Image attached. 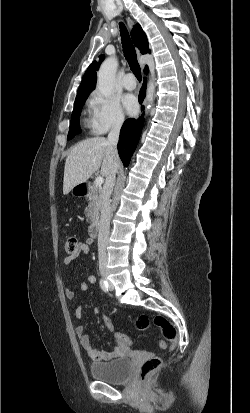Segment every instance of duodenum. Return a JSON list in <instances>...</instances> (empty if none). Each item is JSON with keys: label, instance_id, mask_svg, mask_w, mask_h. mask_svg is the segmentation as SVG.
Wrapping results in <instances>:
<instances>
[{"label": "duodenum", "instance_id": "410a0bca", "mask_svg": "<svg viewBox=\"0 0 250 413\" xmlns=\"http://www.w3.org/2000/svg\"><path fill=\"white\" fill-rule=\"evenodd\" d=\"M87 189H88L87 184H85V183L81 184L80 185V195H86L87 194ZM99 230H100V223L98 221H93L90 224V227H89L90 236L91 237H97L98 234H99Z\"/></svg>", "mask_w": 250, "mask_h": 413}]
</instances>
